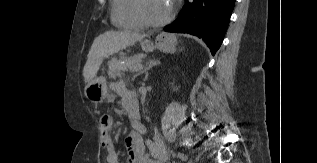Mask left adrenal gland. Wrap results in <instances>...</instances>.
<instances>
[{"mask_svg": "<svg viewBox=\"0 0 317 163\" xmlns=\"http://www.w3.org/2000/svg\"><path fill=\"white\" fill-rule=\"evenodd\" d=\"M158 64H160V61H159V60H156V59L148 60V61L146 62V64H145L144 69H143L142 71H140L139 73H137L136 75H134L133 80H134L137 76H139V75H141V74H143V73H146V75H147V74H148V70H150L153 66H156V65H158Z\"/></svg>", "mask_w": 317, "mask_h": 163, "instance_id": "obj_1", "label": "left adrenal gland"}]
</instances>
